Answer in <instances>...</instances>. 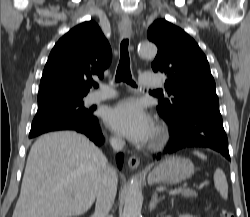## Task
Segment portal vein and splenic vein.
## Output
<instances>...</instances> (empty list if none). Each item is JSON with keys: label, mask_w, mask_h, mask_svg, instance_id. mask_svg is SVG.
<instances>
[{"label": "portal vein and splenic vein", "mask_w": 250, "mask_h": 217, "mask_svg": "<svg viewBox=\"0 0 250 217\" xmlns=\"http://www.w3.org/2000/svg\"><path fill=\"white\" fill-rule=\"evenodd\" d=\"M183 188H185V185L183 186ZM179 190H182V188L170 190V191H169V194H170V195H174V194L178 193Z\"/></svg>", "instance_id": "portal-vein-and-splenic-vein-1"}]
</instances>
